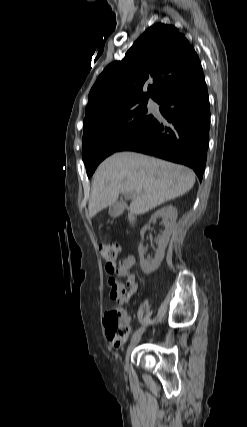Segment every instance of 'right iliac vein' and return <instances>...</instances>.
<instances>
[{
	"label": "right iliac vein",
	"mask_w": 247,
	"mask_h": 427,
	"mask_svg": "<svg viewBox=\"0 0 247 427\" xmlns=\"http://www.w3.org/2000/svg\"><path fill=\"white\" fill-rule=\"evenodd\" d=\"M142 334H143V331L139 335H137L136 337L132 338L130 345L128 346L126 357H125V369L128 368L129 356H130L131 352L133 351V349L137 346V344L141 340Z\"/></svg>",
	"instance_id": "obj_1"
}]
</instances>
